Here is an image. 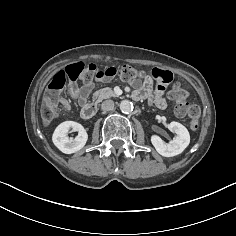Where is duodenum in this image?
Here are the masks:
<instances>
[{"instance_id":"duodenum-1","label":"duodenum","mask_w":236,"mask_h":236,"mask_svg":"<svg viewBox=\"0 0 236 236\" xmlns=\"http://www.w3.org/2000/svg\"><path fill=\"white\" fill-rule=\"evenodd\" d=\"M96 113H97V109H96L95 105L90 104V103L85 104L81 110V117L84 120H90L96 115Z\"/></svg>"}]
</instances>
